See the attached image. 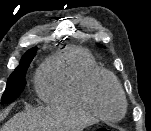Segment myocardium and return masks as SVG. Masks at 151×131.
Here are the masks:
<instances>
[{"label":"myocardium","instance_id":"myocardium-1","mask_svg":"<svg viewBox=\"0 0 151 131\" xmlns=\"http://www.w3.org/2000/svg\"><path fill=\"white\" fill-rule=\"evenodd\" d=\"M104 82H109L110 84H112V86L115 88L116 92L118 93V95L121 99V103H122L121 112L116 117H110V116L106 115L101 110V108L98 104L99 88H100L101 84ZM86 93H87V97H88L91 107L93 108V110L99 117L104 118V119L116 120V119L121 118L126 113L127 98H126L125 92H124L120 82L118 81V79L109 71L104 70V69L96 70L90 76V78L88 80Z\"/></svg>","mask_w":151,"mask_h":131}]
</instances>
